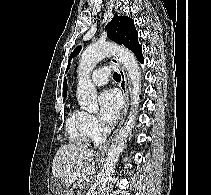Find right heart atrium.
<instances>
[{"mask_svg":"<svg viewBox=\"0 0 211 195\" xmlns=\"http://www.w3.org/2000/svg\"><path fill=\"white\" fill-rule=\"evenodd\" d=\"M85 125L89 136L93 139H97L100 134V125L97 118L85 113Z\"/></svg>","mask_w":211,"mask_h":195,"instance_id":"d8ad5b80","label":"right heart atrium"}]
</instances>
